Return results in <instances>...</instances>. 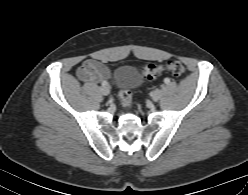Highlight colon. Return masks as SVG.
<instances>
[{
	"label": "colon",
	"mask_w": 248,
	"mask_h": 195,
	"mask_svg": "<svg viewBox=\"0 0 248 195\" xmlns=\"http://www.w3.org/2000/svg\"><path fill=\"white\" fill-rule=\"evenodd\" d=\"M165 72L178 77L185 72V66L181 61L171 60L163 65L147 64L142 68V75L147 80H153ZM118 99L122 106L130 107L133 96L130 90L122 89L118 93Z\"/></svg>",
	"instance_id": "5ec220e1"
}]
</instances>
